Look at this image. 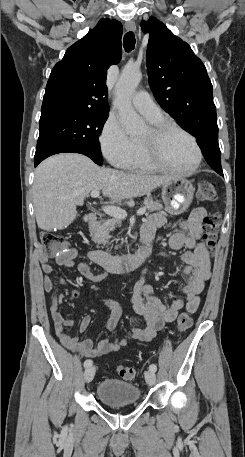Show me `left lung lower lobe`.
I'll list each match as a JSON object with an SVG mask.
<instances>
[{
    "mask_svg": "<svg viewBox=\"0 0 245 457\" xmlns=\"http://www.w3.org/2000/svg\"><path fill=\"white\" fill-rule=\"evenodd\" d=\"M194 136L198 141V145L202 150L207 163L218 174L223 176L221 167V153L218 145V127L210 125L204 130L197 131Z\"/></svg>",
    "mask_w": 245,
    "mask_h": 457,
    "instance_id": "obj_1",
    "label": "left lung lower lobe"
}]
</instances>
